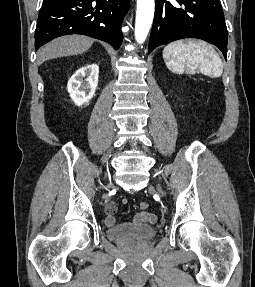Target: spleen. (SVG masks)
<instances>
[{
	"label": "spleen",
	"mask_w": 255,
	"mask_h": 287,
	"mask_svg": "<svg viewBox=\"0 0 255 287\" xmlns=\"http://www.w3.org/2000/svg\"><path fill=\"white\" fill-rule=\"evenodd\" d=\"M171 72H184L185 62L190 70L200 66V72L210 78H220L223 72L222 60L215 50H210L202 40H179L165 46L162 54Z\"/></svg>",
	"instance_id": "obj_1"
}]
</instances>
